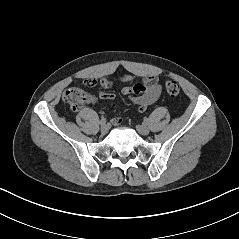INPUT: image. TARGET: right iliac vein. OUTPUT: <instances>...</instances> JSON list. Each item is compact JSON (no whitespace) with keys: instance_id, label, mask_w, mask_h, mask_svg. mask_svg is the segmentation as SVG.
I'll list each match as a JSON object with an SVG mask.
<instances>
[{"instance_id":"obj_1","label":"right iliac vein","mask_w":239,"mask_h":239,"mask_svg":"<svg viewBox=\"0 0 239 239\" xmlns=\"http://www.w3.org/2000/svg\"><path fill=\"white\" fill-rule=\"evenodd\" d=\"M101 132H102V134H106L108 131H109V127H108V125L107 124H103L102 126H101Z\"/></svg>"}]
</instances>
